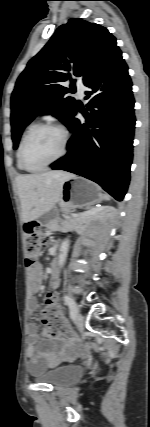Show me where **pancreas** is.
Here are the masks:
<instances>
[{"instance_id": "pancreas-1", "label": "pancreas", "mask_w": 150, "mask_h": 427, "mask_svg": "<svg viewBox=\"0 0 150 427\" xmlns=\"http://www.w3.org/2000/svg\"><path fill=\"white\" fill-rule=\"evenodd\" d=\"M63 217H64V220H62L61 224H59L55 227L56 229H62L66 226L74 224L76 222V220H78L80 218V216L78 214H71L68 212L63 214Z\"/></svg>"}]
</instances>
